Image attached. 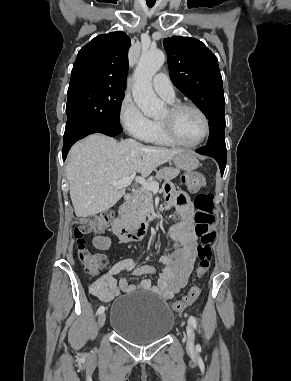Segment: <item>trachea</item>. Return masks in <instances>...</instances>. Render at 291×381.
I'll return each instance as SVG.
<instances>
[{
  "label": "trachea",
  "mask_w": 291,
  "mask_h": 381,
  "mask_svg": "<svg viewBox=\"0 0 291 381\" xmlns=\"http://www.w3.org/2000/svg\"><path fill=\"white\" fill-rule=\"evenodd\" d=\"M154 4H155V1H153V2H149V1H147V6H148L149 8H152V7L154 6Z\"/></svg>",
  "instance_id": "3493384b"
}]
</instances>
